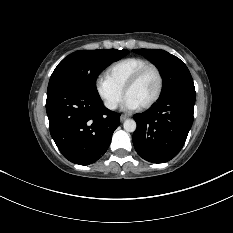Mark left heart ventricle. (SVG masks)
Returning <instances> with one entry per match:
<instances>
[{"label": "left heart ventricle", "mask_w": 233, "mask_h": 233, "mask_svg": "<svg viewBox=\"0 0 233 233\" xmlns=\"http://www.w3.org/2000/svg\"><path fill=\"white\" fill-rule=\"evenodd\" d=\"M158 88V77L153 70L144 76L128 92L127 97L133 99L139 106L147 103L155 95Z\"/></svg>", "instance_id": "obj_1"}]
</instances>
